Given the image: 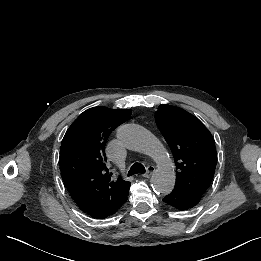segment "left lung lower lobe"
<instances>
[{
    "mask_svg": "<svg viewBox=\"0 0 261 261\" xmlns=\"http://www.w3.org/2000/svg\"><path fill=\"white\" fill-rule=\"evenodd\" d=\"M200 200L201 197L194 196L193 194L177 187L174 188L171 194L163 199L165 203L181 211L196 206Z\"/></svg>",
    "mask_w": 261,
    "mask_h": 261,
    "instance_id": "1",
    "label": "left lung lower lobe"
}]
</instances>
